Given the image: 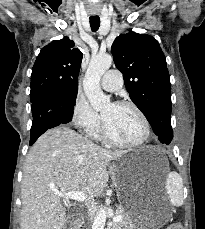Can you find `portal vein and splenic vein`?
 I'll use <instances>...</instances> for the list:
<instances>
[{
  "label": "portal vein and splenic vein",
  "mask_w": 205,
  "mask_h": 229,
  "mask_svg": "<svg viewBox=\"0 0 205 229\" xmlns=\"http://www.w3.org/2000/svg\"><path fill=\"white\" fill-rule=\"evenodd\" d=\"M54 194H56L58 197H61L65 200H77L80 202H84L86 200V196L83 191H71V192H60V191H54ZM122 220V216L117 215L113 218V221H120Z\"/></svg>",
  "instance_id": "18ae733b"
}]
</instances>
